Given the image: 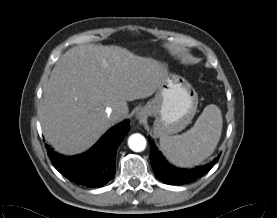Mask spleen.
Instances as JSON below:
<instances>
[{
	"instance_id": "1",
	"label": "spleen",
	"mask_w": 277,
	"mask_h": 218,
	"mask_svg": "<svg viewBox=\"0 0 277 218\" xmlns=\"http://www.w3.org/2000/svg\"><path fill=\"white\" fill-rule=\"evenodd\" d=\"M221 110L214 104L206 106L187 132L162 136L160 147L168 160L179 167L202 163L215 150L222 133Z\"/></svg>"
}]
</instances>
